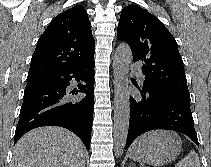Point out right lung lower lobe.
<instances>
[{"instance_id":"obj_1","label":"right lung lower lobe","mask_w":211,"mask_h":167,"mask_svg":"<svg viewBox=\"0 0 211 167\" xmlns=\"http://www.w3.org/2000/svg\"><path fill=\"white\" fill-rule=\"evenodd\" d=\"M94 60L39 78L43 85L25 88L19 122L15 131L16 143L28 131L47 125L64 127L75 133L89 150L93 121ZM83 80L77 89L69 91L70 81ZM84 93L81 99L73 95Z\"/></svg>"}]
</instances>
